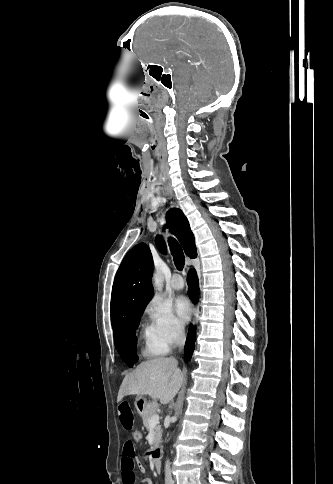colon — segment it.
<instances>
[{"label":"colon","instance_id":"colon-1","mask_svg":"<svg viewBox=\"0 0 333 484\" xmlns=\"http://www.w3.org/2000/svg\"><path fill=\"white\" fill-rule=\"evenodd\" d=\"M133 440L139 442L143 438V434L140 430H134L132 433Z\"/></svg>","mask_w":333,"mask_h":484}]
</instances>
